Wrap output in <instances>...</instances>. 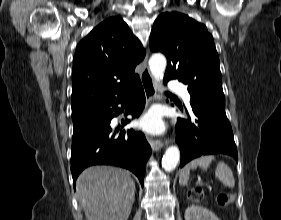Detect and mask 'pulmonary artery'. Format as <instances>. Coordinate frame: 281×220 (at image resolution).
<instances>
[{"label":"pulmonary artery","mask_w":281,"mask_h":220,"mask_svg":"<svg viewBox=\"0 0 281 220\" xmlns=\"http://www.w3.org/2000/svg\"><path fill=\"white\" fill-rule=\"evenodd\" d=\"M169 88L175 92H177L185 101L188 107H190V94L187 91V88L185 85L178 81H172L169 84Z\"/></svg>","instance_id":"pulmonary-artery-1"}]
</instances>
